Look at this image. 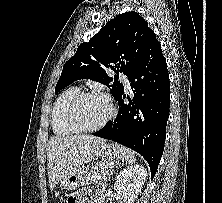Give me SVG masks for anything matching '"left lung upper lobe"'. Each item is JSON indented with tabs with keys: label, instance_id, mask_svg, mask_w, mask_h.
Here are the masks:
<instances>
[{
	"label": "left lung upper lobe",
	"instance_id": "5c2ea615",
	"mask_svg": "<svg viewBox=\"0 0 222 203\" xmlns=\"http://www.w3.org/2000/svg\"><path fill=\"white\" fill-rule=\"evenodd\" d=\"M152 30L136 12H126L110 20L88 42L82 43L63 66L55 93L79 79H91L109 87L114 98L124 91L122 83L109 71L130 74L142 57ZM116 77V76H115Z\"/></svg>",
	"mask_w": 222,
	"mask_h": 203
}]
</instances>
